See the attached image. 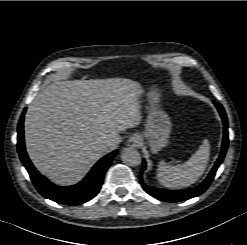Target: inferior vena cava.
Listing matches in <instances>:
<instances>
[{"label":"inferior vena cava","instance_id":"obj_1","mask_svg":"<svg viewBox=\"0 0 247 245\" xmlns=\"http://www.w3.org/2000/svg\"><path fill=\"white\" fill-rule=\"evenodd\" d=\"M102 146L106 152H110L117 148L118 142H116L114 139H108L104 141Z\"/></svg>","mask_w":247,"mask_h":245}]
</instances>
